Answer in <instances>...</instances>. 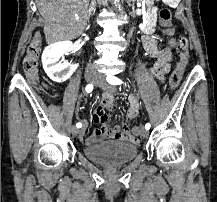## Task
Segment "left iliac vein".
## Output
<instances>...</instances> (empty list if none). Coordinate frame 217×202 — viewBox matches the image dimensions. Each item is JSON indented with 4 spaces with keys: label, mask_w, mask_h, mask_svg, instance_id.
<instances>
[{
    "label": "left iliac vein",
    "mask_w": 217,
    "mask_h": 202,
    "mask_svg": "<svg viewBox=\"0 0 217 202\" xmlns=\"http://www.w3.org/2000/svg\"><path fill=\"white\" fill-rule=\"evenodd\" d=\"M95 85L99 86L102 90L112 91L114 87L108 84L102 76H98L95 80ZM140 135L142 137H148V131L145 128H141Z\"/></svg>",
    "instance_id": "1"
}]
</instances>
